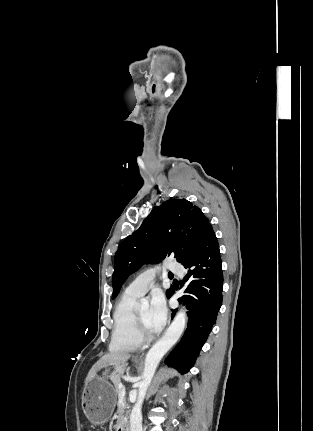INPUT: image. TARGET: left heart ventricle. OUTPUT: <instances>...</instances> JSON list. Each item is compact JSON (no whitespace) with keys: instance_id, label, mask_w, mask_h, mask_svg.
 I'll return each mask as SVG.
<instances>
[{"instance_id":"obj_1","label":"left heart ventricle","mask_w":313,"mask_h":431,"mask_svg":"<svg viewBox=\"0 0 313 431\" xmlns=\"http://www.w3.org/2000/svg\"><path fill=\"white\" fill-rule=\"evenodd\" d=\"M138 311H139V314L141 316L145 330L148 333H153L154 331L152 330V328L150 326V307L144 306V307H141Z\"/></svg>"}]
</instances>
